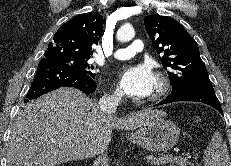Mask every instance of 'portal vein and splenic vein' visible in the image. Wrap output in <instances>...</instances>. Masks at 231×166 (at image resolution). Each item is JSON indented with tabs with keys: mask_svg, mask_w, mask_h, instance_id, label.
Returning <instances> with one entry per match:
<instances>
[{
	"mask_svg": "<svg viewBox=\"0 0 231 166\" xmlns=\"http://www.w3.org/2000/svg\"><path fill=\"white\" fill-rule=\"evenodd\" d=\"M171 158L170 159H174L177 161V163H179L181 166H185V164L187 163L188 159L187 158H184V157H181V156H170ZM160 158H164V157H148L147 160L148 161H151L152 163L155 162V161H158Z\"/></svg>",
	"mask_w": 231,
	"mask_h": 166,
	"instance_id": "18ae733b",
	"label": "portal vein and splenic vein"
}]
</instances>
